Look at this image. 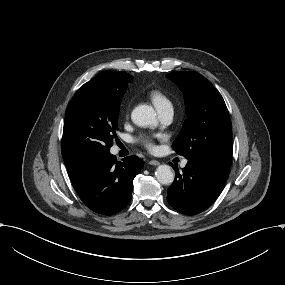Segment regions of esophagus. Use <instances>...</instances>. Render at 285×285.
<instances>
[{"label": "esophagus", "instance_id": "obj_1", "mask_svg": "<svg viewBox=\"0 0 285 285\" xmlns=\"http://www.w3.org/2000/svg\"><path fill=\"white\" fill-rule=\"evenodd\" d=\"M149 164L150 165H159V161L151 160V161H149Z\"/></svg>", "mask_w": 285, "mask_h": 285}]
</instances>
